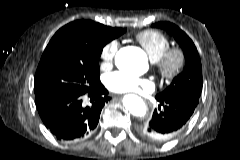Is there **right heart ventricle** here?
<instances>
[{
    "label": "right heart ventricle",
    "instance_id": "obj_1",
    "mask_svg": "<svg viewBox=\"0 0 240 160\" xmlns=\"http://www.w3.org/2000/svg\"><path fill=\"white\" fill-rule=\"evenodd\" d=\"M136 40L145 49L150 59L156 62L169 49L170 41L157 30H144L136 35Z\"/></svg>",
    "mask_w": 240,
    "mask_h": 160
}]
</instances>
